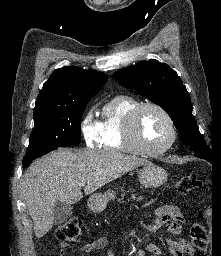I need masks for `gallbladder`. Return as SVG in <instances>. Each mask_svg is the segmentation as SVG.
Instances as JSON below:
<instances>
[{
    "label": "gallbladder",
    "instance_id": "bac80fb5",
    "mask_svg": "<svg viewBox=\"0 0 221 256\" xmlns=\"http://www.w3.org/2000/svg\"><path fill=\"white\" fill-rule=\"evenodd\" d=\"M72 215V206L70 204L57 202L54 207V223L61 224Z\"/></svg>",
    "mask_w": 221,
    "mask_h": 256
}]
</instances>
